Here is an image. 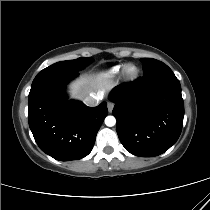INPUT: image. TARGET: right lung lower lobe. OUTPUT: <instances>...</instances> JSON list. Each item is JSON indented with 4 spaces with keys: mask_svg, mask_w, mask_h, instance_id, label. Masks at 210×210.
<instances>
[{
    "mask_svg": "<svg viewBox=\"0 0 210 210\" xmlns=\"http://www.w3.org/2000/svg\"><path fill=\"white\" fill-rule=\"evenodd\" d=\"M77 75V71H41L28 98L29 126L36 143L43 152L60 161L87 156L108 114L106 102L87 107L82 102L67 100L64 88Z\"/></svg>",
    "mask_w": 210,
    "mask_h": 210,
    "instance_id": "98d812e1",
    "label": "right lung lower lobe"
}]
</instances>
